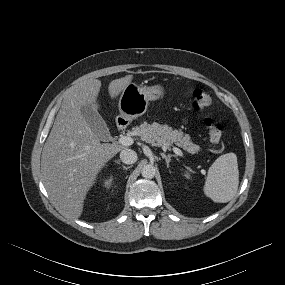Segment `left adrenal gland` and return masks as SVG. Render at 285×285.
<instances>
[{
  "mask_svg": "<svg viewBox=\"0 0 285 285\" xmlns=\"http://www.w3.org/2000/svg\"><path fill=\"white\" fill-rule=\"evenodd\" d=\"M161 156H162V158H164L166 160L167 167H169L171 157H176L175 155H172V154L166 155L165 153H162Z\"/></svg>",
  "mask_w": 285,
  "mask_h": 285,
  "instance_id": "1",
  "label": "left adrenal gland"
}]
</instances>
